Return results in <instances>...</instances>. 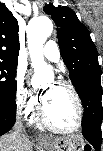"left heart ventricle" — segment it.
I'll return each mask as SVG.
<instances>
[{
	"label": "left heart ventricle",
	"mask_w": 103,
	"mask_h": 151,
	"mask_svg": "<svg viewBox=\"0 0 103 151\" xmlns=\"http://www.w3.org/2000/svg\"><path fill=\"white\" fill-rule=\"evenodd\" d=\"M45 91L49 92V98L44 103L48 119L58 127H73L77 122V109L70 92L53 83L45 85Z\"/></svg>",
	"instance_id": "b2bd125f"
}]
</instances>
